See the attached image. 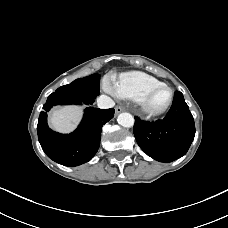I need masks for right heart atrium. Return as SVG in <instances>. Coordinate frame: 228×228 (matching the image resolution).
<instances>
[{
  "label": "right heart atrium",
  "instance_id": "obj_1",
  "mask_svg": "<svg viewBox=\"0 0 228 228\" xmlns=\"http://www.w3.org/2000/svg\"><path fill=\"white\" fill-rule=\"evenodd\" d=\"M105 87H106V89H107L108 91L113 92V91H112L111 81H110L109 78H107L106 81H105Z\"/></svg>",
  "mask_w": 228,
  "mask_h": 228
}]
</instances>
